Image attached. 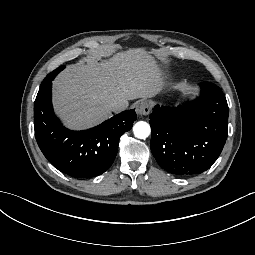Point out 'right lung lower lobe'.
Returning a JSON list of instances; mask_svg holds the SVG:
<instances>
[{"instance_id": "98d812e1", "label": "right lung lower lobe", "mask_w": 255, "mask_h": 255, "mask_svg": "<svg viewBox=\"0 0 255 255\" xmlns=\"http://www.w3.org/2000/svg\"><path fill=\"white\" fill-rule=\"evenodd\" d=\"M52 82L41 85L34 103L37 143L47 160L59 171L78 178L95 177L113 163L119 139L132 128L134 110L124 111L85 131L66 129L54 115Z\"/></svg>"}]
</instances>
